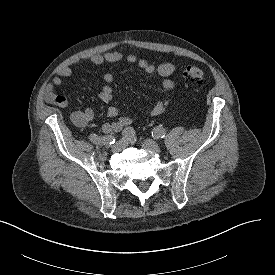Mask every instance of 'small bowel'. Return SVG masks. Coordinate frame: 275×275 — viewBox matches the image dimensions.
<instances>
[{"label": "small bowel", "instance_id": "c3829d8e", "mask_svg": "<svg viewBox=\"0 0 275 275\" xmlns=\"http://www.w3.org/2000/svg\"><path fill=\"white\" fill-rule=\"evenodd\" d=\"M90 62L95 65H101L104 63H117L125 60L128 64H137L139 69L144 71L148 75H154L161 80L162 88L165 92H171L175 88V81L171 76L175 73L176 67L172 63H163L159 66H154L146 60H138L135 55H128L126 58L120 52H107L104 54H95L89 58ZM73 74V70L69 67L60 69L52 79V82L46 86L45 100L51 105H55L61 108H67L69 101L63 95L57 94L54 91V86L62 84L63 80L70 77ZM104 85L99 92V98L108 103L113 99L112 84L114 77L110 73L103 75ZM166 102L163 100L158 101L150 109V116H158L166 110ZM119 108L116 106H110L107 110V115L110 118H116L113 122H107L103 124L102 130L104 133H112L121 131L123 128L131 125L132 118L128 116H119ZM94 118V112L92 109L77 110L70 114V120L78 127H84Z\"/></svg>", "mask_w": 275, "mask_h": 275}]
</instances>
